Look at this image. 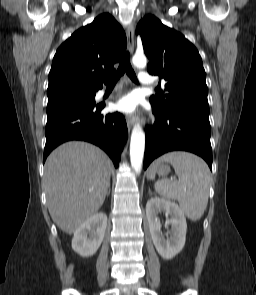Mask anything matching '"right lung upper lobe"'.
<instances>
[{
    "label": "right lung upper lobe",
    "instance_id": "right-lung-upper-lobe-1",
    "mask_svg": "<svg viewBox=\"0 0 256 295\" xmlns=\"http://www.w3.org/2000/svg\"><path fill=\"white\" fill-rule=\"evenodd\" d=\"M126 35L107 13L75 31L56 51L49 73L48 99L70 92H95L115 72Z\"/></svg>",
    "mask_w": 256,
    "mask_h": 295
}]
</instances>
